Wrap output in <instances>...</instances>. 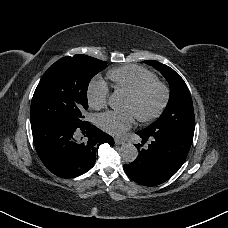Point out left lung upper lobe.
I'll list each match as a JSON object with an SVG mask.
<instances>
[{
	"label": "left lung upper lobe",
	"instance_id": "1",
	"mask_svg": "<svg viewBox=\"0 0 228 228\" xmlns=\"http://www.w3.org/2000/svg\"><path fill=\"white\" fill-rule=\"evenodd\" d=\"M146 64L159 70L170 85L168 104L158 120L144 130L166 131L194 135L195 116L192 98L184 80L170 67L158 61L146 60Z\"/></svg>",
	"mask_w": 228,
	"mask_h": 228
}]
</instances>
